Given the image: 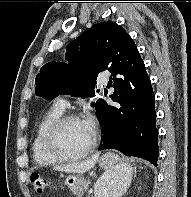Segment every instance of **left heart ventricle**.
Listing matches in <instances>:
<instances>
[{
	"instance_id": "b2bd125f",
	"label": "left heart ventricle",
	"mask_w": 191,
	"mask_h": 197,
	"mask_svg": "<svg viewBox=\"0 0 191 197\" xmlns=\"http://www.w3.org/2000/svg\"><path fill=\"white\" fill-rule=\"evenodd\" d=\"M93 136L82 121L65 124L58 134V144L63 152L70 155L81 153L92 141Z\"/></svg>"
}]
</instances>
